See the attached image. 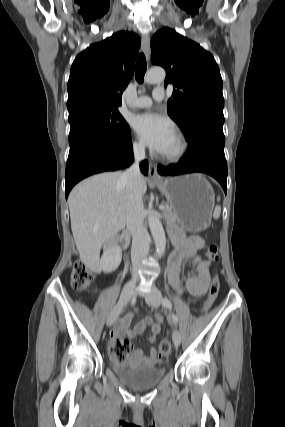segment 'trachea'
<instances>
[{
    "label": "trachea",
    "mask_w": 285,
    "mask_h": 427,
    "mask_svg": "<svg viewBox=\"0 0 285 427\" xmlns=\"http://www.w3.org/2000/svg\"><path fill=\"white\" fill-rule=\"evenodd\" d=\"M147 70L146 58L143 53H140L136 62L135 77L138 83H143L144 75Z\"/></svg>",
    "instance_id": "trachea-1"
}]
</instances>
